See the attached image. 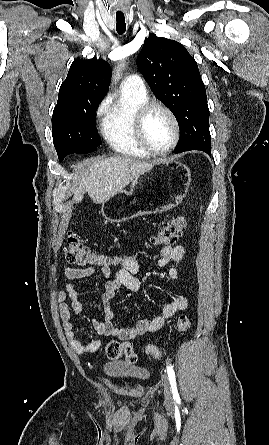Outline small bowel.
Returning <instances> with one entry per match:
<instances>
[{
    "label": "small bowel",
    "mask_w": 269,
    "mask_h": 445,
    "mask_svg": "<svg viewBox=\"0 0 269 445\" xmlns=\"http://www.w3.org/2000/svg\"><path fill=\"white\" fill-rule=\"evenodd\" d=\"M185 255V248L182 245L166 246L161 250L158 260L160 268L167 269L169 280H175L178 276L177 263L180 262ZM142 271V266L132 257L124 255L120 257V269H118L113 278H111V270L108 267L101 268L100 274L105 279L103 293V320L92 319L94 331L103 336H114L120 340H129L136 336H140L149 332H153L162 328L169 318L177 312L187 309L189 301L185 296H175L167 300L161 309V312L152 319L140 320L130 327H118L114 324L115 313L112 308V301L116 297L117 292L124 288L132 292H137L141 287L138 275ZM96 269L89 268H64L66 278L65 291H59V312L62 320L65 336L78 354L91 353L97 351L101 342L96 339L89 338L81 340L76 335V325L71 320V311L75 314H83L85 312L84 305L80 299V288L72 283L73 280L86 279L93 276ZM69 299V304L66 299Z\"/></svg>",
    "instance_id": "c3829d8e"
}]
</instances>
